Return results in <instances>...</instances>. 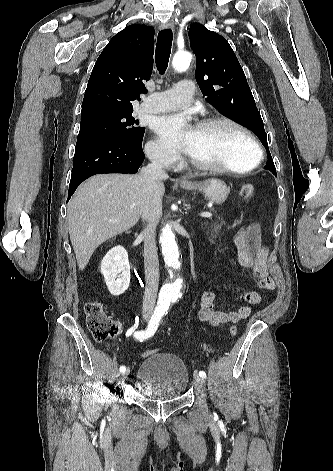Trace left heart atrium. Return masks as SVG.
I'll list each match as a JSON object with an SVG mask.
<instances>
[{"label": "left heart atrium", "mask_w": 333, "mask_h": 471, "mask_svg": "<svg viewBox=\"0 0 333 471\" xmlns=\"http://www.w3.org/2000/svg\"><path fill=\"white\" fill-rule=\"evenodd\" d=\"M187 114H175L157 120L155 130L170 147L190 153L195 128L190 126Z\"/></svg>", "instance_id": "obj_1"}]
</instances>
